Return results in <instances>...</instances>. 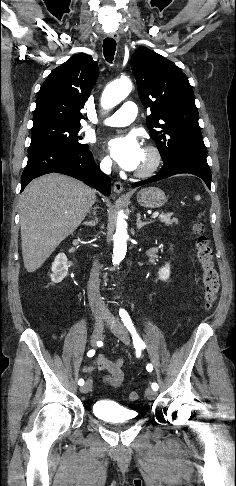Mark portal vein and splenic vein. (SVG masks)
<instances>
[{
	"instance_id": "obj_1",
	"label": "portal vein and splenic vein",
	"mask_w": 236,
	"mask_h": 486,
	"mask_svg": "<svg viewBox=\"0 0 236 486\" xmlns=\"http://www.w3.org/2000/svg\"><path fill=\"white\" fill-rule=\"evenodd\" d=\"M159 216V212H154L153 215H152V218L155 219Z\"/></svg>"
}]
</instances>
